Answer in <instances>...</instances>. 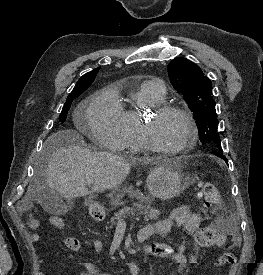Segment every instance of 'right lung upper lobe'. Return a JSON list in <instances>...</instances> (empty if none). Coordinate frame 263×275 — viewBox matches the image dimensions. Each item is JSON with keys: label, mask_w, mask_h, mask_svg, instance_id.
Listing matches in <instances>:
<instances>
[{"label": "right lung upper lobe", "mask_w": 263, "mask_h": 275, "mask_svg": "<svg viewBox=\"0 0 263 275\" xmlns=\"http://www.w3.org/2000/svg\"><path fill=\"white\" fill-rule=\"evenodd\" d=\"M99 71V68H95L94 70H92L91 72H88L86 74H84L76 83L74 89L72 90V92L70 93V95L84 89V88H88L92 82L94 81L97 73Z\"/></svg>", "instance_id": "right-lung-upper-lobe-1"}]
</instances>
